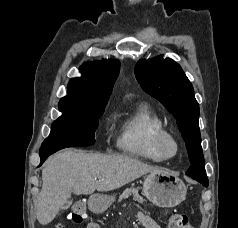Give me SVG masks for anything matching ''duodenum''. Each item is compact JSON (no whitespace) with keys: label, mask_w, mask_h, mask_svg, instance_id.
<instances>
[{"label":"duodenum","mask_w":238,"mask_h":228,"mask_svg":"<svg viewBox=\"0 0 238 228\" xmlns=\"http://www.w3.org/2000/svg\"><path fill=\"white\" fill-rule=\"evenodd\" d=\"M91 206L93 209H96L98 206L97 201H93Z\"/></svg>","instance_id":"410a0bca"}]
</instances>
